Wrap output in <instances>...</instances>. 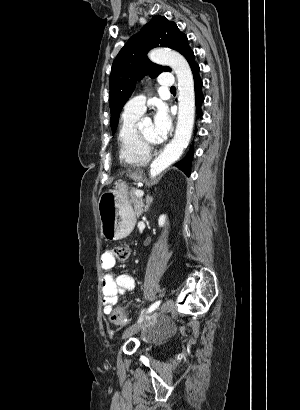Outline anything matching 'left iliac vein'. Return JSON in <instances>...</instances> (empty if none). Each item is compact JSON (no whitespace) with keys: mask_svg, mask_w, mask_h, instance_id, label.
<instances>
[{"mask_svg":"<svg viewBox=\"0 0 300 410\" xmlns=\"http://www.w3.org/2000/svg\"><path fill=\"white\" fill-rule=\"evenodd\" d=\"M174 308V301L172 299L167 300L165 303L162 304V306L156 311L154 312L152 315L147 316L146 318L140 320L139 322L131 325L130 327H128L122 335V338H127L129 336H131L132 334L136 333L139 328L144 325V323H146L147 321H149L152 318L158 317L162 314H165L167 312H170L172 309Z\"/></svg>","mask_w":300,"mask_h":410,"instance_id":"obj_1","label":"left iliac vein"}]
</instances>
